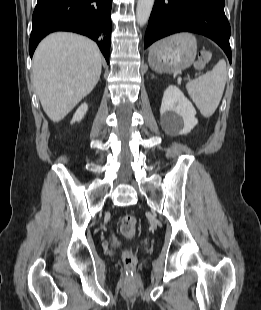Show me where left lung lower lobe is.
Returning <instances> with one entry per match:
<instances>
[{"mask_svg":"<svg viewBox=\"0 0 261 310\" xmlns=\"http://www.w3.org/2000/svg\"><path fill=\"white\" fill-rule=\"evenodd\" d=\"M185 31L214 40L231 63V29L224 13V0H155L144 47L170 34Z\"/></svg>","mask_w":261,"mask_h":310,"instance_id":"obj_1","label":"left lung lower lobe"}]
</instances>
